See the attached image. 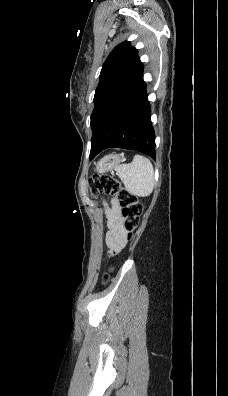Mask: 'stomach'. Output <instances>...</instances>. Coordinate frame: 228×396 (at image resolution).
<instances>
[{
	"label": "stomach",
	"instance_id": "stomach-1",
	"mask_svg": "<svg viewBox=\"0 0 228 396\" xmlns=\"http://www.w3.org/2000/svg\"><path fill=\"white\" fill-rule=\"evenodd\" d=\"M123 160L124 158L120 154H111L105 156L96 165V171L101 174L108 172L118 166Z\"/></svg>",
	"mask_w": 228,
	"mask_h": 396
}]
</instances>
